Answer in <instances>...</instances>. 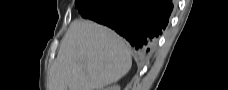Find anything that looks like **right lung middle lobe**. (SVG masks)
<instances>
[{
  "label": "right lung middle lobe",
  "mask_w": 228,
  "mask_h": 90,
  "mask_svg": "<svg viewBox=\"0 0 228 90\" xmlns=\"http://www.w3.org/2000/svg\"><path fill=\"white\" fill-rule=\"evenodd\" d=\"M104 2V0H75L76 7L81 16L87 13H93L99 9Z\"/></svg>",
  "instance_id": "dd1d6c3e"
}]
</instances>
